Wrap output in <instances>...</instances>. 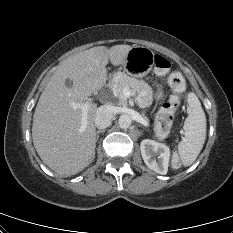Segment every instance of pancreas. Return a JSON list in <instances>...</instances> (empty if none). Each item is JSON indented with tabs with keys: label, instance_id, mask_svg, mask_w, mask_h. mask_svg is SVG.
<instances>
[{
	"label": "pancreas",
	"instance_id": "cf45deb5",
	"mask_svg": "<svg viewBox=\"0 0 233 233\" xmlns=\"http://www.w3.org/2000/svg\"><path fill=\"white\" fill-rule=\"evenodd\" d=\"M124 89L137 93V103L139 107L145 108L151 105L153 100V91L145 81L131 78L124 73H118L114 78L113 93L117 98H119L120 104L122 105L126 104V99L123 97ZM142 114L145 116V112H142ZM155 132L159 138H165L168 130L163 131L157 126L155 128Z\"/></svg>",
	"mask_w": 233,
	"mask_h": 233
}]
</instances>
